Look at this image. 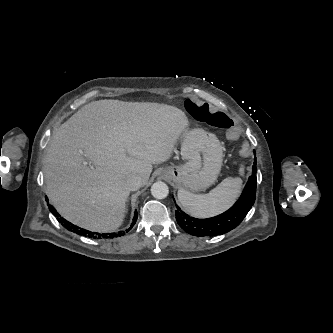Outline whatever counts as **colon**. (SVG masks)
Instances as JSON below:
<instances>
[{"label": "colon", "instance_id": "5ec220e1", "mask_svg": "<svg viewBox=\"0 0 333 333\" xmlns=\"http://www.w3.org/2000/svg\"><path fill=\"white\" fill-rule=\"evenodd\" d=\"M185 106L188 112L198 121L226 131L235 130L234 123L227 114L213 110L207 103L188 99Z\"/></svg>", "mask_w": 333, "mask_h": 333}]
</instances>
